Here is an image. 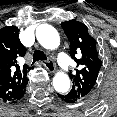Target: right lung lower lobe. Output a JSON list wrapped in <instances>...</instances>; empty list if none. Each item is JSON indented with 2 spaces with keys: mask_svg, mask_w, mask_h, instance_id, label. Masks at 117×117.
Masks as SVG:
<instances>
[{
  "mask_svg": "<svg viewBox=\"0 0 117 117\" xmlns=\"http://www.w3.org/2000/svg\"><path fill=\"white\" fill-rule=\"evenodd\" d=\"M25 87L21 90V92L17 95V97L14 100H12L11 102L15 103L16 101L20 100L23 97V95L25 93Z\"/></svg>",
  "mask_w": 117,
  "mask_h": 117,
  "instance_id": "right-lung-lower-lobe-1",
  "label": "right lung lower lobe"
}]
</instances>
